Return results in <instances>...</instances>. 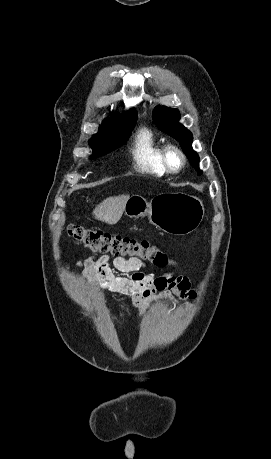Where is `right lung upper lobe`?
<instances>
[{
	"mask_svg": "<svg viewBox=\"0 0 271 459\" xmlns=\"http://www.w3.org/2000/svg\"><path fill=\"white\" fill-rule=\"evenodd\" d=\"M133 120H137V113L134 109L129 110L128 112H125L122 115L111 116L110 119L106 120V122L133 121Z\"/></svg>",
	"mask_w": 271,
	"mask_h": 459,
	"instance_id": "obj_1",
	"label": "right lung upper lobe"
}]
</instances>
